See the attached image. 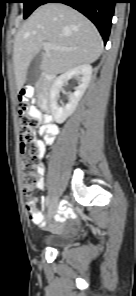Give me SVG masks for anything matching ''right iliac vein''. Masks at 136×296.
Listing matches in <instances>:
<instances>
[{
  "label": "right iliac vein",
  "mask_w": 136,
  "mask_h": 296,
  "mask_svg": "<svg viewBox=\"0 0 136 296\" xmlns=\"http://www.w3.org/2000/svg\"><path fill=\"white\" fill-rule=\"evenodd\" d=\"M57 208V199L53 198V203H50L49 205V211H48V223H50L52 217L54 216Z\"/></svg>",
  "instance_id": "obj_1"
}]
</instances>
